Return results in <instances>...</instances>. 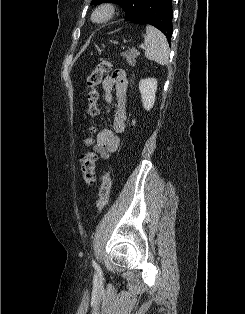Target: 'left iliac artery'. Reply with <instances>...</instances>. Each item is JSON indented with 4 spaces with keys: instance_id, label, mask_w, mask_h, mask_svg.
I'll return each instance as SVG.
<instances>
[{
    "instance_id": "obj_1",
    "label": "left iliac artery",
    "mask_w": 245,
    "mask_h": 314,
    "mask_svg": "<svg viewBox=\"0 0 245 314\" xmlns=\"http://www.w3.org/2000/svg\"><path fill=\"white\" fill-rule=\"evenodd\" d=\"M92 264H93V266L95 267V268H98V265H97V263L93 260L92 261Z\"/></svg>"
}]
</instances>
